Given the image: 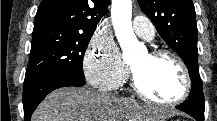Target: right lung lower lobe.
Instances as JSON below:
<instances>
[{
  "instance_id": "1",
  "label": "right lung lower lobe",
  "mask_w": 217,
  "mask_h": 121,
  "mask_svg": "<svg viewBox=\"0 0 217 121\" xmlns=\"http://www.w3.org/2000/svg\"><path fill=\"white\" fill-rule=\"evenodd\" d=\"M85 80L61 71L46 72L24 80L23 108L24 119L30 121L31 115L51 91L67 86H83Z\"/></svg>"
}]
</instances>
